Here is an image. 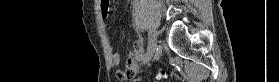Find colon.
<instances>
[{
	"mask_svg": "<svg viewBox=\"0 0 279 82\" xmlns=\"http://www.w3.org/2000/svg\"><path fill=\"white\" fill-rule=\"evenodd\" d=\"M161 74L164 76L165 75V73L163 72V71H161Z\"/></svg>",
	"mask_w": 279,
	"mask_h": 82,
	"instance_id": "5ec220e1",
	"label": "colon"
}]
</instances>
